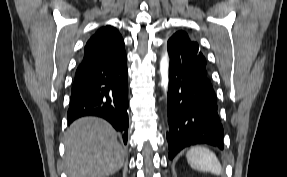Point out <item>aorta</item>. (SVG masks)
Returning a JSON list of instances; mask_svg holds the SVG:
<instances>
[{
  "mask_svg": "<svg viewBox=\"0 0 287 177\" xmlns=\"http://www.w3.org/2000/svg\"><path fill=\"white\" fill-rule=\"evenodd\" d=\"M168 67H169V58L168 54L165 52L160 61L161 86L163 87L165 93L167 92L169 82Z\"/></svg>",
  "mask_w": 287,
  "mask_h": 177,
  "instance_id": "762f6f07",
  "label": "aorta"
}]
</instances>
